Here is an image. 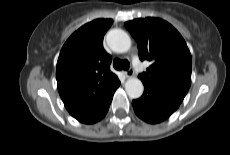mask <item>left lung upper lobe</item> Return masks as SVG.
Segmentation results:
<instances>
[{
    "mask_svg": "<svg viewBox=\"0 0 230 155\" xmlns=\"http://www.w3.org/2000/svg\"><path fill=\"white\" fill-rule=\"evenodd\" d=\"M125 27L137 41L140 59L152 62L138 76L143 84L181 103L191 85L192 58L180 33L151 17L128 21Z\"/></svg>",
    "mask_w": 230,
    "mask_h": 155,
    "instance_id": "left-lung-upper-lobe-1",
    "label": "left lung upper lobe"
}]
</instances>
